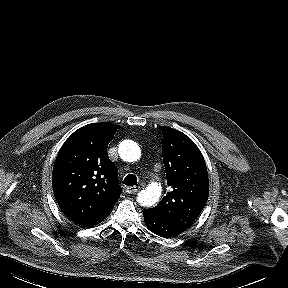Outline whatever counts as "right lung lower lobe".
Here are the masks:
<instances>
[{
    "label": "right lung lower lobe",
    "mask_w": 288,
    "mask_h": 288,
    "mask_svg": "<svg viewBox=\"0 0 288 288\" xmlns=\"http://www.w3.org/2000/svg\"><path fill=\"white\" fill-rule=\"evenodd\" d=\"M106 217H107V216H106ZM106 217H105V218H106ZM105 218H103V219H101V220H99V221H97V222L91 223V224L87 225L86 227H91V226H93V225H96V224H98L99 222L103 221Z\"/></svg>",
    "instance_id": "98d812e1"
}]
</instances>
